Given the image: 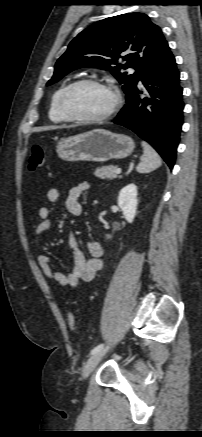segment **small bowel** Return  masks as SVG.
I'll use <instances>...</instances> for the list:
<instances>
[{
    "mask_svg": "<svg viewBox=\"0 0 202 437\" xmlns=\"http://www.w3.org/2000/svg\"><path fill=\"white\" fill-rule=\"evenodd\" d=\"M88 182H80L73 186L65 200V208L69 214L79 216L82 213L80 197L89 189ZM60 192L57 188H51L47 192V199L50 203H56ZM40 222L34 230V244L40 248L43 236L52 226L51 210L48 207H41L38 211ZM72 253V266L70 272L64 273L55 270L51 258L46 254H39L38 263L44 276L58 283L62 287H76L80 281H92L96 273L103 266L104 249L99 241L91 240L87 243V255L78 246V241L73 232L68 240Z\"/></svg>",
    "mask_w": 202,
    "mask_h": 437,
    "instance_id": "small-bowel-1",
    "label": "small bowel"
}]
</instances>
